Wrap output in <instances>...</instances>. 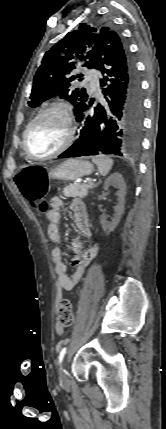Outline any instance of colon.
Returning a JSON list of instances; mask_svg holds the SVG:
<instances>
[{
	"label": "colon",
	"instance_id": "5ec220e1",
	"mask_svg": "<svg viewBox=\"0 0 166 429\" xmlns=\"http://www.w3.org/2000/svg\"><path fill=\"white\" fill-rule=\"evenodd\" d=\"M15 184L22 196L32 205L41 210L46 209V193L48 176L42 166L23 167L15 176ZM74 314L72 303L68 299H60L57 304V325L65 328L73 323Z\"/></svg>",
	"mask_w": 166,
	"mask_h": 429
}]
</instances>
